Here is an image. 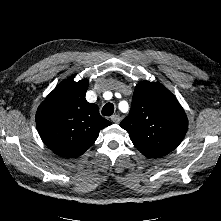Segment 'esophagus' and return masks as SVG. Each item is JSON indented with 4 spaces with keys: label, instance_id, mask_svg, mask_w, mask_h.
<instances>
[{
    "label": "esophagus",
    "instance_id": "obj_1",
    "mask_svg": "<svg viewBox=\"0 0 221 221\" xmlns=\"http://www.w3.org/2000/svg\"><path fill=\"white\" fill-rule=\"evenodd\" d=\"M112 121L115 122V123H118L120 121V118L117 116V115H113L111 117Z\"/></svg>",
    "mask_w": 221,
    "mask_h": 221
}]
</instances>
